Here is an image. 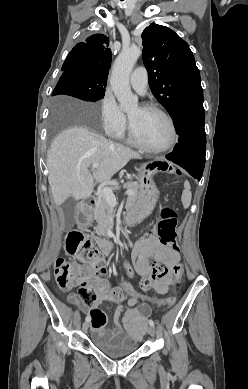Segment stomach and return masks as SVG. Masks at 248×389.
<instances>
[{
	"label": "stomach",
	"instance_id": "obj_1",
	"mask_svg": "<svg viewBox=\"0 0 248 389\" xmlns=\"http://www.w3.org/2000/svg\"><path fill=\"white\" fill-rule=\"evenodd\" d=\"M138 171L139 182L135 188L140 191L136 204L129 205V213H123L121 218L127 226H134L135 220H145L151 214L159 197V190L153 176L159 171H166L167 176H174L176 164H161L159 161H147L135 166Z\"/></svg>",
	"mask_w": 248,
	"mask_h": 389
}]
</instances>
